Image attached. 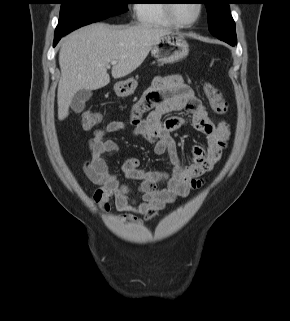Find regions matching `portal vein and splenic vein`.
I'll return each instance as SVG.
<instances>
[{
	"label": "portal vein and splenic vein",
	"instance_id": "portal-vein-and-splenic-vein-1",
	"mask_svg": "<svg viewBox=\"0 0 290 321\" xmlns=\"http://www.w3.org/2000/svg\"><path fill=\"white\" fill-rule=\"evenodd\" d=\"M110 63H111L112 65H114V64L117 63V61L113 60V61H111Z\"/></svg>",
	"mask_w": 290,
	"mask_h": 321
}]
</instances>
